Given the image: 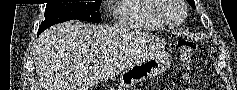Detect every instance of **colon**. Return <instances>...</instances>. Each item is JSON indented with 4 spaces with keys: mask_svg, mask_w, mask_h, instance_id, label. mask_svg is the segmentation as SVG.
Listing matches in <instances>:
<instances>
[{
    "mask_svg": "<svg viewBox=\"0 0 237 90\" xmlns=\"http://www.w3.org/2000/svg\"><path fill=\"white\" fill-rule=\"evenodd\" d=\"M177 46L180 55V60L182 63V68L184 70H188L192 56L197 47V43L193 40L182 39L178 41Z\"/></svg>",
    "mask_w": 237,
    "mask_h": 90,
    "instance_id": "obj_1",
    "label": "colon"
}]
</instances>
